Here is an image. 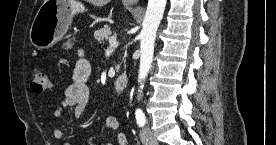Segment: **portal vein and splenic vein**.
I'll return each instance as SVG.
<instances>
[{
	"label": "portal vein and splenic vein",
	"instance_id": "obj_1",
	"mask_svg": "<svg viewBox=\"0 0 276 145\" xmlns=\"http://www.w3.org/2000/svg\"><path fill=\"white\" fill-rule=\"evenodd\" d=\"M118 46L117 38L115 36L109 38V48L115 49Z\"/></svg>",
	"mask_w": 276,
	"mask_h": 145
}]
</instances>
